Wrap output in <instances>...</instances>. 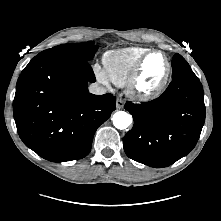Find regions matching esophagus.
Here are the masks:
<instances>
[{
    "mask_svg": "<svg viewBox=\"0 0 221 221\" xmlns=\"http://www.w3.org/2000/svg\"><path fill=\"white\" fill-rule=\"evenodd\" d=\"M124 100L122 98H117L116 100V107L117 109H122L124 107Z\"/></svg>",
    "mask_w": 221,
    "mask_h": 221,
    "instance_id": "obj_1",
    "label": "esophagus"
}]
</instances>
